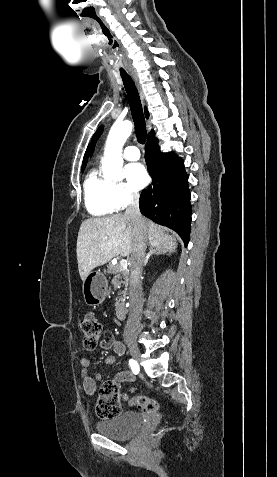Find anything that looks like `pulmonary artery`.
Returning <instances> with one entry per match:
<instances>
[{"label": "pulmonary artery", "instance_id": "e3ab8cb5", "mask_svg": "<svg viewBox=\"0 0 277 477\" xmlns=\"http://www.w3.org/2000/svg\"><path fill=\"white\" fill-rule=\"evenodd\" d=\"M123 155L127 160H138L140 158L139 149L135 146H127L123 151Z\"/></svg>", "mask_w": 277, "mask_h": 477}]
</instances>
